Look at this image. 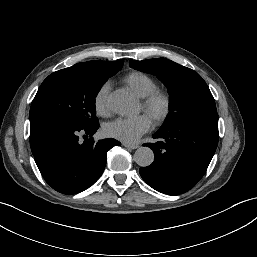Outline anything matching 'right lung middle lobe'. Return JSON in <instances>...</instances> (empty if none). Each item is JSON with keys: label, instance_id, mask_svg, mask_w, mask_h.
<instances>
[{"label": "right lung middle lobe", "instance_id": "right-lung-middle-lobe-1", "mask_svg": "<svg viewBox=\"0 0 257 257\" xmlns=\"http://www.w3.org/2000/svg\"><path fill=\"white\" fill-rule=\"evenodd\" d=\"M116 72L100 73L80 63L49 75L30 108V121L51 120L84 128L98 123L95 97Z\"/></svg>", "mask_w": 257, "mask_h": 257}]
</instances>
